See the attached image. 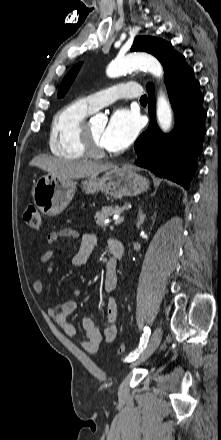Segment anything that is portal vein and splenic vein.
Returning a JSON list of instances; mask_svg holds the SVG:
<instances>
[{"mask_svg":"<svg viewBox=\"0 0 221 440\" xmlns=\"http://www.w3.org/2000/svg\"><path fill=\"white\" fill-rule=\"evenodd\" d=\"M123 221H124V216L117 217V218H115V222H114V224H115V225H119V224H121Z\"/></svg>","mask_w":221,"mask_h":440,"instance_id":"obj_1","label":"portal vein and splenic vein"}]
</instances>
